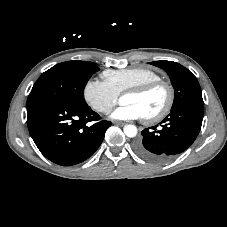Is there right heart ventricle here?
Instances as JSON below:
<instances>
[{
    "instance_id": "right-heart-ventricle-1",
    "label": "right heart ventricle",
    "mask_w": 227,
    "mask_h": 227,
    "mask_svg": "<svg viewBox=\"0 0 227 227\" xmlns=\"http://www.w3.org/2000/svg\"><path fill=\"white\" fill-rule=\"evenodd\" d=\"M104 81L119 95L142 84L161 79L154 70L146 67L106 70L102 73Z\"/></svg>"
}]
</instances>
